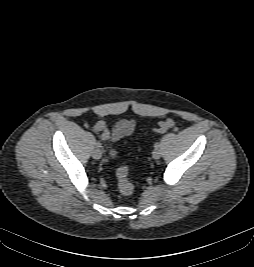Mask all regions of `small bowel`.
Instances as JSON below:
<instances>
[{"instance_id": "c3829d8e", "label": "small bowel", "mask_w": 254, "mask_h": 267, "mask_svg": "<svg viewBox=\"0 0 254 267\" xmlns=\"http://www.w3.org/2000/svg\"><path fill=\"white\" fill-rule=\"evenodd\" d=\"M135 126L136 124L134 120H121L109 130L106 122L104 120H99L93 125L92 129L101 134L102 140L111 144L132 134L135 130ZM110 154L116 156L117 151L110 147Z\"/></svg>"}]
</instances>
